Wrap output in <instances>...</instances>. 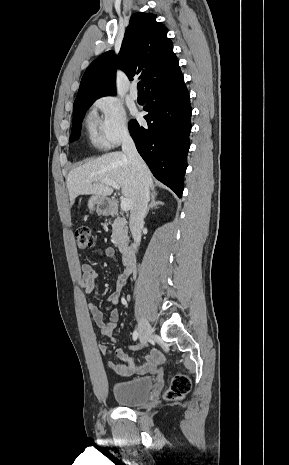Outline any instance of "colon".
Masks as SVG:
<instances>
[{"label":"colon","mask_w":289,"mask_h":465,"mask_svg":"<svg viewBox=\"0 0 289 465\" xmlns=\"http://www.w3.org/2000/svg\"><path fill=\"white\" fill-rule=\"evenodd\" d=\"M77 246L81 250H86L94 247L95 238L89 226H80L76 232ZM191 388L190 381L185 376H178L174 378L171 388L168 392V398L179 399L186 395Z\"/></svg>","instance_id":"obj_1"}]
</instances>
